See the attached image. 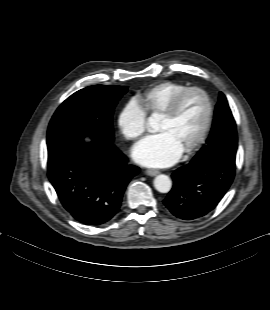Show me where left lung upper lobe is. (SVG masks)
<instances>
[{
  "mask_svg": "<svg viewBox=\"0 0 270 310\" xmlns=\"http://www.w3.org/2000/svg\"><path fill=\"white\" fill-rule=\"evenodd\" d=\"M236 151V124L224 94L220 93L207 145L202 147L193 159L196 161H218L235 165Z\"/></svg>",
  "mask_w": 270,
  "mask_h": 310,
  "instance_id": "left-lung-upper-lobe-1",
  "label": "left lung upper lobe"
}]
</instances>
